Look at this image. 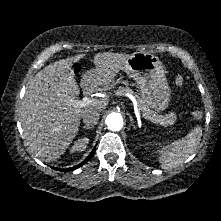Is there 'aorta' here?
Returning a JSON list of instances; mask_svg holds the SVG:
<instances>
[{
    "instance_id": "obj_1",
    "label": "aorta",
    "mask_w": 221,
    "mask_h": 221,
    "mask_svg": "<svg viewBox=\"0 0 221 221\" xmlns=\"http://www.w3.org/2000/svg\"><path fill=\"white\" fill-rule=\"evenodd\" d=\"M105 123L109 130L119 131L123 126V118L119 113H111L107 116Z\"/></svg>"
}]
</instances>
